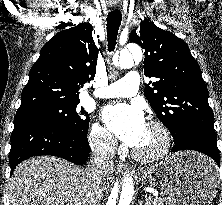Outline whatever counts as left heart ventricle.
Here are the masks:
<instances>
[{
	"mask_svg": "<svg viewBox=\"0 0 222 205\" xmlns=\"http://www.w3.org/2000/svg\"><path fill=\"white\" fill-rule=\"evenodd\" d=\"M161 143V134L155 128L147 125L142 139L134 148L143 154H149L156 151Z\"/></svg>",
	"mask_w": 222,
	"mask_h": 205,
	"instance_id": "b2bd125f",
	"label": "left heart ventricle"
}]
</instances>
